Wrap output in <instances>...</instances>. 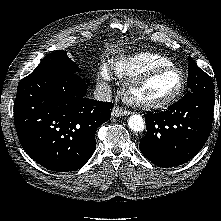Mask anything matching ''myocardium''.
I'll use <instances>...</instances> for the list:
<instances>
[{
  "mask_svg": "<svg viewBox=\"0 0 221 221\" xmlns=\"http://www.w3.org/2000/svg\"><path fill=\"white\" fill-rule=\"evenodd\" d=\"M167 71H176L180 75V83L173 93H171L167 97H164L158 100H140V99H137L133 95L134 90L137 87H139L140 85H142L143 83L151 79L152 77L160 73L167 72ZM185 84H186V77L182 69L174 65L161 66V67L149 69L136 76L129 78L123 87V96H124V100L128 104L134 107H137L140 109H146V110L158 109V108L165 107L171 104L172 102H174L183 92Z\"/></svg>",
  "mask_w": 221,
  "mask_h": 221,
  "instance_id": "f54148a6",
  "label": "myocardium"
}]
</instances>
